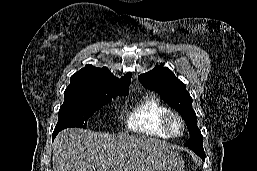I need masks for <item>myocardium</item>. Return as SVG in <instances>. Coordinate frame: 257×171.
<instances>
[{"label": "myocardium", "instance_id": "myocardium-1", "mask_svg": "<svg viewBox=\"0 0 257 171\" xmlns=\"http://www.w3.org/2000/svg\"><path fill=\"white\" fill-rule=\"evenodd\" d=\"M175 121L180 126V129L177 132L173 128V122H175ZM163 126H164L165 130L167 131V133L172 137H178V136L182 135L185 130V122H184L182 116L175 111H169L165 115L164 120H163Z\"/></svg>", "mask_w": 257, "mask_h": 171}]
</instances>
